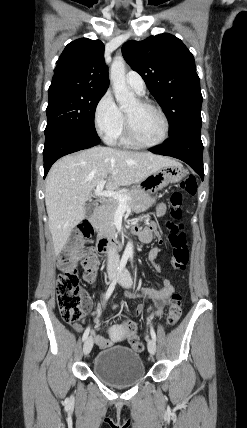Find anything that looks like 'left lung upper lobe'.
<instances>
[{
    "instance_id": "1",
    "label": "left lung upper lobe",
    "mask_w": 247,
    "mask_h": 428,
    "mask_svg": "<svg viewBox=\"0 0 247 428\" xmlns=\"http://www.w3.org/2000/svg\"><path fill=\"white\" fill-rule=\"evenodd\" d=\"M122 54L144 79L170 123V137L201 129L202 94L194 57L177 37L163 33L128 41Z\"/></svg>"
}]
</instances>
